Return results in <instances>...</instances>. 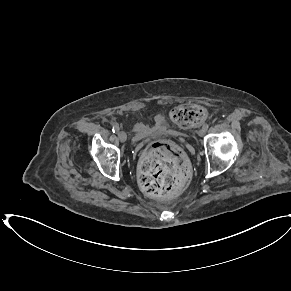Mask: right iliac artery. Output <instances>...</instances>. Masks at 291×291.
<instances>
[{
  "mask_svg": "<svg viewBox=\"0 0 291 291\" xmlns=\"http://www.w3.org/2000/svg\"><path fill=\"white\" fill-rule=\"evenodd\" d=\"M119 130H120L119 125L118 124H114L113 128H112L113 133H118Z\"/></svg>",
  "mask_w": 291,
  "mask_h": 291,
  "instance_id": "1",
  "label": "right iliac artery"
}]
</instances>
